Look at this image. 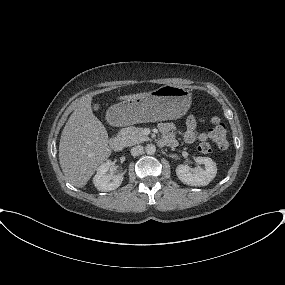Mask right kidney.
<instances>
[{"label":"right kidney","instance_id":"obj_1","mask_svg":"<svg viewBox=\"0 0 285 285\" xmlns=\"http://www.w3.org/2000/svg\"><path fill=\"white\" fill-rule=\"evenodd\" d=\"M112 167V162L107 160L102 163L93 178L95 187L101 192H108L117 189L124 179L123 174L115 175L113 172L108 173Z\"/></svg>","mask_w":285,"mask_h":285}]
</instances>
